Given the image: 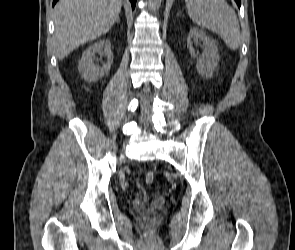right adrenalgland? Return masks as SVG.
Returning a JSON list of instances; mask_svg holds the SVG:
<instances>
[{
	"label": "right adrenal gland",
	"mask_w": 295,
	"mask_h": 250,
	"mask_svg": "<svg viewBox=\"0 0 295 250\" xmlns=\"http://www.w3.org/2000/svg\"><path fill=\"white\" fill-rule=\"evenodd\" d=\"M116 22H117V23H119V22H120V18H119V17L116 19Z\"/></svg>",
	"instance_id": "right-adrenal-gland-1"
}]
</instances>
